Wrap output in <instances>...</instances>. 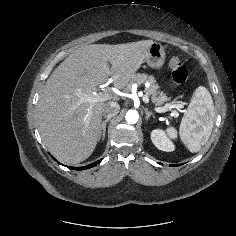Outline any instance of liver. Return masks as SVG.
<instances>
[{"instance_id":"1","label":"liver","mask_w":236,"mask_h":236,"mask_svg":"<svg viewBox=\"0 0 236 236\" xmlns=\"http://www.w3.org/2000/svg\"><path fill=\"white\" fill-rule=\"evenodd\" d=\"M152 44V40L83 44L52 72L37 104V120L43 144L61 162L78 164L93 153L102 109L111 101L90 103L86 99L94 97L97 86L110 77L115 88L128 86ZM110 100L120 97L114 94Z\"/></svg>"}]
</instances>
